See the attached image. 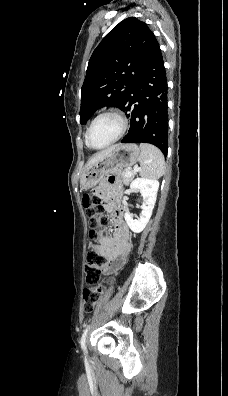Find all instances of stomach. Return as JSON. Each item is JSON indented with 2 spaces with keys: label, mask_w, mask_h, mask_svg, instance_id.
<instances>
[{
  "label": "stomach",
  "mask_w": 228,
  "mask_h": 396,
  "mask_svg": "<svg viewBox=\"0 0 228 396\" xmlns=\"http://www.w3.org/2000/svg\"><path fill=\"white\" fill-rule=\"evenodd\" d=\"M140 155V148L134 143L117 145L111 153L84 170L80 179L81 187L85 190L93 188L105 175L119 168L133 166Z\"/></svg>",
  "instance_id": "stomach-1"
}]
</instances>
